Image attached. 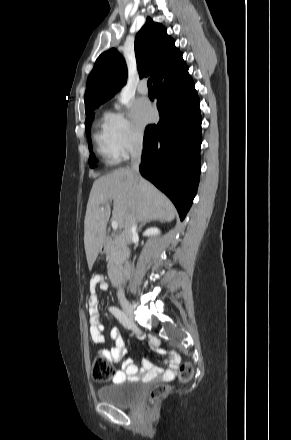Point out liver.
Instances as JSON below:
<instances>
[{
  "label": "liver",
  "instance_id": "6515ba94",
  "mask_svg": "<svg viewBox=\"0 0 291 440\" xmlns=\"http://www.w3.org/2000/svg\"><path fill=\"white\" fill-rule=\"evenodd\" d=\"M112 201V219L120 228H124L129 212H133L139 222L157 219L170 222L176 215L170 200L131 169H117L98 178L93 183L84 220V246L89 269L104 244ZM101 207H104L103 211Z\"/></svg>",
  "mask_w": 291,
  "mask_h": 440
}]
</instances>
